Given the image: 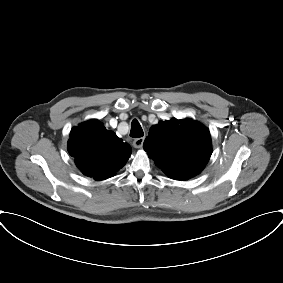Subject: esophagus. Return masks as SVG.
Wrapping results in <instances>:
<instances>
[{
    "mask_svg": "<svg viewBox=\"0 0 283 283\" xmlns=\"http://www.w3.org/2000/svg\"><path fill=\"white\" fill-rule=\"evenodd\" d=\"M143 143H144V137H140V138H135L132 144L135 148H141L143 146Z\"/></svg>",
    "mask_w": 283,
    "mask_h": 283,
    "instance_id": "esophagus-1",
    "label": "esophagus"
}]
</instances>
